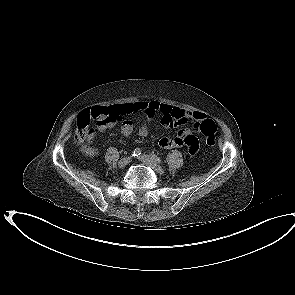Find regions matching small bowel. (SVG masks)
Listing matches in <instances>:
<instances>
[{"label":"small bowel","instance_id":"1","mask_svg":"<svg viewBox=\"0 0 295 295\" xmlns=\"http://www.w3.org/2000/svg\"><path fill=\"white\" fill-rule=\"evenodd\" d=\"M106 108L110 110L111 115L109 118L103 119L98 123L99 130L109 129L114 126L117 118L137 112L143 113L145 116L144 123L139 127V135L143 137L148 135V124L157 115H160L163 125L167 127L185 124L191 120L201 121L205 118V114L202 112L184 110L156 100L144 102L136 101L132 103L113 105ZM133 128V122L126 119L122 122L121 133L126 137L130 136L133 132ZM158 144L162 148L166 149L187 147L191 153L197 151L199 146L198 139L188 129L180 130L173 137H162ZM83 151L90 157H94L98 153L97 149L91 146H85Z\"/></svg>","mask_w":295,"mask_h":295}]
</instances>
